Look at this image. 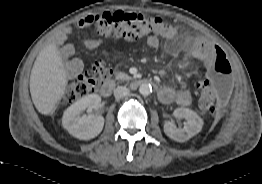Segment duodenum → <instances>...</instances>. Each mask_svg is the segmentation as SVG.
I'll list each match as a JSON object with an SVG mask.
<instances>
[{
  "mask_svg": "<svg viewBox=\"0 0 262 184\" xmlns=\"http://www.w3.org/2000/svg\"><path fill=\"white\" fill-rule=\"evenodd\" d=\"M155 86V83L149 79H138V80H133L130 82V87L131 88H139L141 86ZM116 86V82L112 79L106 80L101 88H100V93L104 97H109L112 94V91L114 90Z\"/></svg>",
  "mask_w": 262,
  "mask_h": 184,
  "instance_id": "obj_1",
  "label": "duodenum"
}]
</instances>
